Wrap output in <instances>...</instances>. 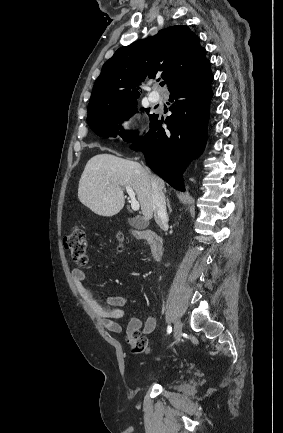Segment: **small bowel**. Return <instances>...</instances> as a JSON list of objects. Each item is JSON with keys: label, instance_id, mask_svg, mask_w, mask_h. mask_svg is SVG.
I'll use <instances>...</instances> for the list:
<instances>
[{"label": "small bowel", "instance_id": "small-bowel-1", "mask_svg": "<svg viewBox=\"0 0 283 433\" xmlns=\"http://www.w3.org/2000/svg\"><path fill=\"white\" fill-rule=\"evenodd\" d=\"M88 277V273L81 269L72 271V279L81 298L103 319V324L106 329L111 332L120 333L122 327L117 322L125 315L123 307L127 304L126 296H108L104 298L105 304L101 303L92 293V291L84 284ZM156 327V318L148 315L145 320L140 317H132L127 325V334L141 331L144 335H148L154 331Z\"/></svg>", "mask_w": 283, "mask_h": 433}]
</instances>
